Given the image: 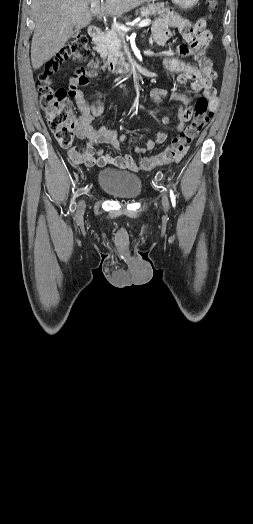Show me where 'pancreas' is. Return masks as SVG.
I'll list each match as a JSON object with an SVG mask.
<instances>
[{
	"instance_id": "cf45deb5",
	"label": "pancreas",
	"mask_w": 253,
	"mask_h": 524,
	"mask_svg": "<svg viewBox=\"0 0 253 524\" xmlns=\"http://www.w3.org/2000/svg\"><path fill=\"white\" fill-rule=\"evenodd\" d=\"M152 15H158L161 18L170 19L176 14L174 11H171L170 8L164 2L151 3L147 6H144L140 9L141 17H149ZM125 36V32L112 28L107 31L95 44V50L103 58H109L112 60H117L121 55V52H118V55L115 51H118L122 48L121 38Z\"/></svg>"
}]
</instances>
